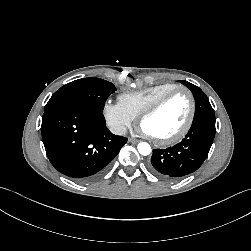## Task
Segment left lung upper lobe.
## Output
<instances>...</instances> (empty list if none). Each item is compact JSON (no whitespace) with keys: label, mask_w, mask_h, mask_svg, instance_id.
Returning a JSON list of instances; mask_svg holds the SVG:
<instances>
[{"label":"left lung upper lobe","mask_w":251,"mask_h":251,"mask_svg":"<svg viewBox=\"0 0 251 251\" xmlns=\"http://www.w3.org/2000/svg\"><path fill=\"white\" fill-rule=\"evenodd\" d=\"M181 83L186 85L192 91L196 100V111L193 121L203 117L215 118L214 110L205 93L192 83L187 81H181Z\"/></svg>","instance_id":"left-lung-upper-lobe-1"}]
</instances>
